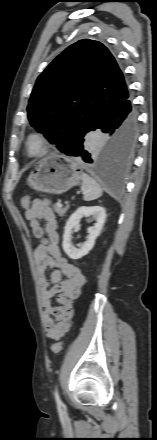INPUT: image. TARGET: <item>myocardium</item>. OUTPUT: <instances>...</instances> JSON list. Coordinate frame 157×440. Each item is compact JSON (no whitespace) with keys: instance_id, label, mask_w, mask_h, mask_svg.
<instances>
[{"instance_id":"1","label":"myocardium","mask_w":157,"mask_h":440,"mask_svg":"<svg viewBox=\"0 0 157 440\" xmlns=\"http://www.w3.org/2000/svg\"><path fill=\"white\" fill-rule=\"evenodd\" d=\"M34 139L37 140L40 143V145H41V149L38 152H32L30 150V142L32 140H34ZM25 148H26V151L30 155H34V156L43 155L49 149V141H48V139L42 133H40V132H33V133H30L27 136V138L25 140Z\"/></svg>"}]
</instances>
